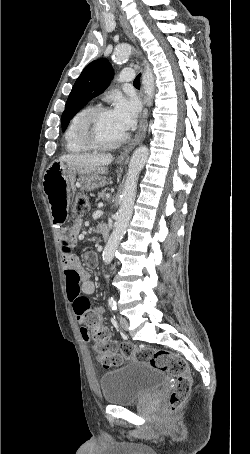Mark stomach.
<instances>
[{
	"label": "stomach",
	"mask_w": 250,
	"mask_h": 454,
	"mask_svg": "<svg viewBox=\"0 0 250 454\" xmlns=\"http://www.w3.org/2000/svg\"><path fill=\"white\" fill-rule=\"evenodd\" d=\"M117 163H121L118 160ZM79 173L86 189H95L102 184L100 174L105 173L104 167H77L65 165L61 162H53L45 171L44 176H75ZM44 187V185H43Z\"/></svg>",
	"instance_id": "1"
}]
</instances>
